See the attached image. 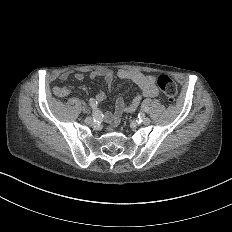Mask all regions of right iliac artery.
Listing matches in <instances>:
<instances>
[{"label": "right iliac artery", "instance_id": "obj_1", "mask_svg": "<svg viewBox=\"0 0 232 232\" xmlns=\"http://www.w3.org/2000/svg\"><path fill=\"white\" fill-rule=\"evenodd\" d=\"M89 105L91 106L92 111L90 112L89 115L85 116L84 118H89V117L93 116L94 110L97 108L98 101L96 99H94V98H91L90 101H89Z\"/></svg>", "mask_w": 232, "mask_h": 232}]
</instances>
